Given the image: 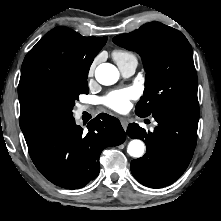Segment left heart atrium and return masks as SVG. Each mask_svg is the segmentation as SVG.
<instances>
[{
    "label": "left heart atrium",
    "instance_id": "left-heart-atrium-1",
    "mask_svg": "<svg viewBox=\"0 0 221 221\" xmlns=\"http://www.w3.org/2000/svg\"><path fill=\"white\" fill-rule=\"evenodd\" d=\"M137 97L133 88L115 90L104 98V104L117 112H123L130 107L131 100Z\"/></svg>",
    "mask_w": 221,
    "mask_h": 221
}]
</instances>
